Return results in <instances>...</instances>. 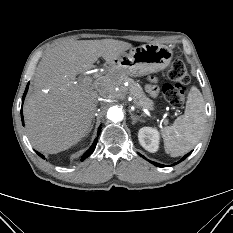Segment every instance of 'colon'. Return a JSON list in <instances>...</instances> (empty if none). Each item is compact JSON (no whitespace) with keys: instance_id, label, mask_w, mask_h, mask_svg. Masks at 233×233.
<instances>
[{"instance_id":"5ec220e1","label":"colon","mask_w":233,"mask_h":233,"mask_svg":"<svg viewBox=\"0 0 233 233\" xmlns=\"http://www.w3.org/2000/svg\"><path fill=\"white\" fill-rule=\"evenodd\" d=\"M168 78L173 83L163 86V95L171 105L180 106L184 102L187 85L190 82V75L185 64L180 60L174 61L168 69Z\"/></svg>"}]
</instances>
